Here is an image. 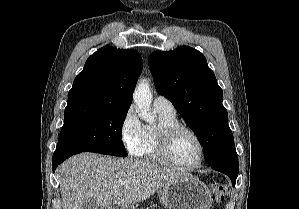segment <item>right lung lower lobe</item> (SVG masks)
Segmentation results:
<instances>
[{"mask_svg":"<svg viewBox=\"0 0 299 209\" xmlns=\"http://www.w3.org/2000/svg\"><path fill=\"white\" fill-rule=\"evenodd\" d=\"M81 152H86V151L77 150V149H68V148H57L53 154V160H52L53 172L55 171L56 167L64 160H66L67 158H69L74 154L81 153Z\"/></svg>","mask_w":299,"mask_h":209,"instance_id":"right-lung-lower-lobe-1","label":"right lung lower lobe"}]
</instances>
